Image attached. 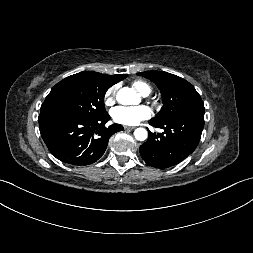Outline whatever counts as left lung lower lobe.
<instances>
[{"label":"left lung lower lobe","mask_w":253,"mask_h":253,"mask_svg":"<svg viewBox=\"0 0 253 253\" xmlns=\"http://www.w3.org/2000/svg\"><path fill=\"white\" fill-rule=\"evenodd\" d=\"M204 106L195 107L169 121L149 124L161 128L162 133H149L140 146L143 160L155 168H168L183 161L197 147L204 127Z\"/></svg>","instance_id":"1"}]
</instances>
